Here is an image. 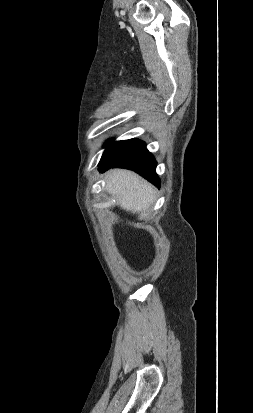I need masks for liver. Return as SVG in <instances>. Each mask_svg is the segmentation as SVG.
Segmentation results:
<instances>
[{
    "label": "liver",
    "instance_id": "obj_1",
    "mask_svg": "<svg viewBox=\"0 0 253 413\" xmlns=\"http://www.w3.org/2000/svg\"><path fill=\"white\" fill-rule=\"evenodd\" d=\"M106 179V190L117 198L120 208L135 214L145 212L153 204L154 187L136 173L114 169Z\"/></svg>",
    "mask_w": 253,
    "mask_h": 413
}]
</instances>
